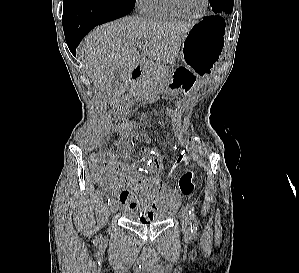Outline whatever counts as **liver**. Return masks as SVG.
I'll use <instances>...</instances> for the list:
<instances>
[{"label": "liver", "mask_w": 299, "mask_h": 273, "mask_svg": "<svg viewBox=\"0 0 299 273\" xmlns=\"http://www.w3.org/2000/svg\"><path fill=\"white\" fill-rule=\"evenodd\" d=\"M195 23L124 17L91 31L78 47V59L103 97L117 99L128 89V78L140 64L137 45L152 60L171 64ZM116 69L121 71V82L114 87L112 79Z\"/></svg>", "instance_id": "1"}]
</instances>
